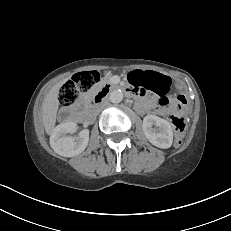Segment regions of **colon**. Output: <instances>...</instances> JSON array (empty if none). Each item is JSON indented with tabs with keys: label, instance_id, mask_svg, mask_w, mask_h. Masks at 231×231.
<instances>
[{
	"label": "colon",
	"instance_id": "1",
	"mask_svg": "<svg viewBox=\"0 0 231 231\" xmlns=\"http://www.w3.org/2000/svg\"><path fill=\"white\" fill-rule=\"evenodd\" d=\"M104 75L97 71L82 72L74 76V78L63 85L60 90L59 103L62 108H68L78 101V99L90 90L95 84L101 81ZM143 76L137 73L130 74V83L135 86H139L142 82ZM165 97L161 98V105H166L164 102ZM179 107L184 109L187 104L185 96H178ZM174 131H175V145L179 146L182 143L184 132L186 129V123L182 116L171 115L170 116Z\"/></svg>",
	"mask_w": 231,
	"mask_h": 231
}]
</instances>
